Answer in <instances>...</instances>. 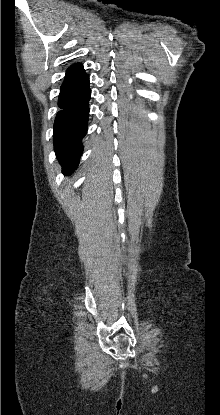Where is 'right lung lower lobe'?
I'll list each match as a JSON object with an SVG mask.
<instances>
[{"mask_svg":"<svg viewBox=\"0 0 220 415\" xmlns=\"http://www.w3.org/2000/svg\"><path fill=\"white\" fill-rule=\"evenodd\" d=\"M91 91L89 77L83 65L76 63L67 69L61 85L54 122V149L65 175L74 171L82 155V138L88 127Z\"/></svg>","mask_w":220,"mask_h":415,"instance_id":"right-lung-lower-lobe-1","label":"right lung lower lobe"}]
</instances>
